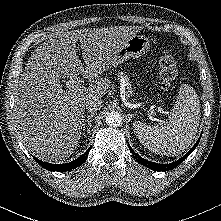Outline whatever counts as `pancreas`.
<instances>
[{
  "mask_svg": "<svg viewBox=\"0 0 221 221\" xmlns=\"http://www.w3.org/2000/svg\"><path fill=\"white\" fill-rule=\"evenodd\" d=\"M119 76H122L123 79L125 80V85H126V89H127V96L130 97L132 95V87L129 82V78L126 75H124L123 73H120Z\"/></svg>",
  "mask_w": 221,
  "mask_h": 221,
  "instance_id": "cf45deb5",
  "label": "pancreas"
}]
</instances>
